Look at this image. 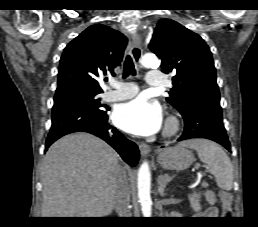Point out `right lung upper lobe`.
Wrapping results in <instances>:
<instances>
[{
	"instance_id": "1",
	"label": "right lung upper lobe",
	"mask_w": 258,
	"mask_h": 227,
	"mask_svg": "<svg viewBox=\"0 0 258 227\" xmlns=\"http://www.w3.org/2000/svg\"><path fill=\"white\" fill-rule=\"evenodd\" d=\"M127 38L102 24L84 30L64 49L58 69L56 93L83 89L102 93L98 78L122 61Z\"/></svg>"
}]
</instances>
